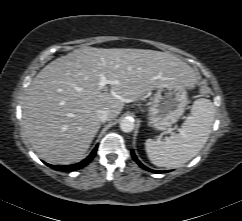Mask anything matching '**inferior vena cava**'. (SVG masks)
<instances>
[{"label":"inferior vena cava","mask_w":242,"mask_h":221,"mask_svg":"<svg viewBox=\"0 0 242 221\" xmlns=\"http://www.w3.org/2000/svg\"><path fill=\"white\" fill-rule=\"evenodd\" d=\"M97 117L101 122H106L109 120V113L106 110H98Z\"/></svg>","instance_id":"1"}]
</instances>
